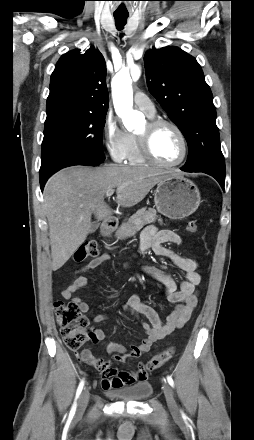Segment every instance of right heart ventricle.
Returning a JSON list of instances; mask_svg holds the SVG:
<instances>
[{
    "label": "right heart ventricle",
    "instance_id": "right-heart-ventricle-1",
    "mask_svg": "<svg viewBox=\"0 0 254 440\" xmlns=\"http://www.w3.org/2000/svg\"><path fill=\"white\" fill-rule=\"evenodd\" d=\"M127 160L132 165H143L147 162L140 152L138 139L135 136H133V145Z\"/></svg>",
    "mask_w": 254,
    "mask_h": 440
}]
</instances>
